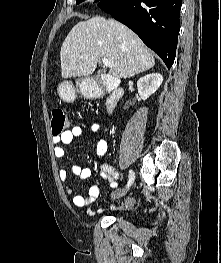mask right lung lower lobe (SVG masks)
I'll return each instance as SVG.
<instances>
[{
    "label": "right lung lower lobe",
    "mask_w": 221,
    "mask_h": 263,
    "mask_svg": "<svg viewBox=\"0 0 221 263\" xmlns=\"http://www.w3.org/2000/svg\"><path fill=\"white\" fill-rule=\"evenodd\" d=\"M181 0H102L98 6L128 26L170 68L180 30Z\"/></svg>",
    "instance_id": "right-lung-lower-lobe-1"
}]
</instances>
